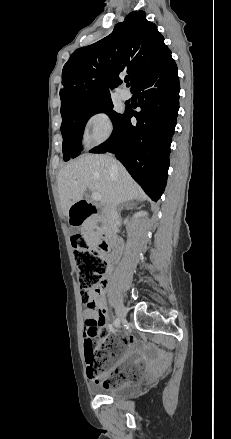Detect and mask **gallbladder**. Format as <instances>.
<instances>
[{"label": "gallbladder", "instance_id": "obj_1", "mask_svg": "<svg viewBox=\"0 0 231 439\" xmlns=\"http://www.w3.org/2000/svg\"><path fill=\"white\" fill-rule=\"evenodd\" d=\"M75 232H76V230H75V229H72V230H71V233H75Z\"/></svg>", "mask_w": 231, "mask_h": 439}]
</instances>
